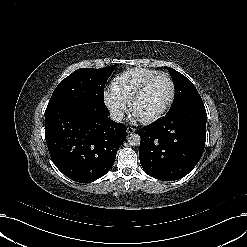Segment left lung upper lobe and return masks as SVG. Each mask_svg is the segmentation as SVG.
<instances>
[{
	"label": "left lung upper lobe",
	"instance_id": "1",
	"mask_svg": "<svg viewBox=\"0 0 247 247\" xmlns=\"http://www.w3.org/2000/svg\"><path fill=\"white\" fill-rule=\"evenodd\" d=\"M167 69L175 87L174 101L167 114L178 111L186 105L201 99L196 87L187 77L173 68L167 67Z\"/></svg>",
	"mask_w": 247,
	"mask_h": 247
}]
</instances>
